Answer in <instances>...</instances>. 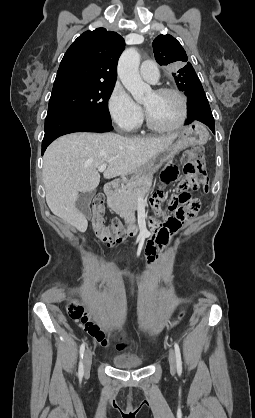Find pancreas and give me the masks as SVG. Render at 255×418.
Wrapping results in <instances>:
<instances>
[{
    "mask_svg": "<svg viewBox=\"0 0 255 418\" xmlns=\"http://www.w3.org/2000/svg\"><path fill=\"white\" fill-rule=\"evenodd\" d=\"M153 176L135 175L127 184H122L108 198V206L120 217L130 220L134 218L138 196H145L151 189Z\"/></svg>",
    "mask_w": 255,
    "mask_h": 418,
    "instance_id": "obj_1",
    "label": "pancreas"
}]
</instances>
